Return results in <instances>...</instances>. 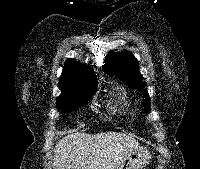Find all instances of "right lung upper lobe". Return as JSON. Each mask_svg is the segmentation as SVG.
Instances as JSON below:
<instances>
[{
  "label": "right lung upper lobe",
  "mask_w": 200,
  "mask_h": 169,
  "mask_svg": "<svg viewBox=\"0 0 200 169\" xmlns=\"http://www.w3.org/2000/svg\"><path fill=\"white\" fill-rule=\"evenodd\" d=\"M59 84L63 93L57 100L70 99L94 92L97 88V77L89 66L68 59L59 79Z\"/></svg>",
  "instance_id": "obj_1"
}]
</instances>
